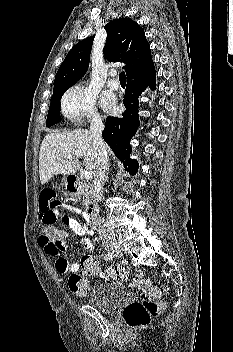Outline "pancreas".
Masks as SVG:
<instances>
[{"label": "pancreas", "mask_w": 233, "mask_h": 352, "mask_svg": "<svg viewBox=\"0 0 233 352\" xmlns=\"http://www.w3.org/2000/svg\"><path fill=\"white\" fill-rule=\"evenodd\" d=\"M89 203V199L86 196V194L84 193V197H83V206L87 207Z\"/></svg>", "instance_id": "pancreas-1"}]
</instances>
